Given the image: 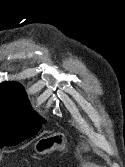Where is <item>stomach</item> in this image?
I'll return each instance as SVG.
<instances>
[{"mask_svg":"<svg viewBox=\"0 0 125 167\" xmlns=\"http://www.w3.org/2000/svg\"><path fill=\"white\" fill-rule=\"evenodd\" d=\"M53 137H55V136H53ZM43 141H40L36 145L35 149H36V152L38 154H45V153H48V152H50V151H52L54 149L66 150V142H65L64 138H62L60 142H55L54 141L52 144H48V143L43 142Z\"/></svg>","mask_w":125,"mask_h":167,"instance_id":"stomach-1","label":"stomach"}]
</instances>
